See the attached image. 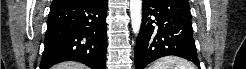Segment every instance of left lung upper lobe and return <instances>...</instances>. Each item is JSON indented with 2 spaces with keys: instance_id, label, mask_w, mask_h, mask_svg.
I'll return each instance as SVG.
<instances>
[{
  "instance_id": "left-lung-upper-lobe-1",
  "label": "left lung upper lobe",
  "mask_w": 246,
  "mask_h": 69,
  "mask_svg": "<svg viewBox=\"0 0 246 69\" xmlns=\"http://www.w3.org/2000/svg\"><path fill=\"white\" fill-rule=\"evenodd\" d=\"M155 4L164 12L181 19L191 22V12L188 0H153Z\"/></svg>"
}]
</instances>
